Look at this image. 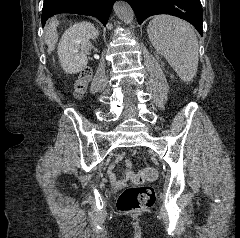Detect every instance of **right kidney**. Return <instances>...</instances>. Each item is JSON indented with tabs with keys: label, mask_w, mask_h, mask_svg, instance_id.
<instances>
[{
	"label": "right kidney",
	"mask_w": 240,
	"mask_h": 238,
	"mask_svg": "<svg viewBox=\"0 0 240 238\" xmlns=\"http://www.w3.org/2000/svg\"><path fill=\"white\" fill-rule=\"evenodd\" d=\"M99 31L92 23L80 22L70 26L58 45V57L67 74H76L87 65L86 48L89 40L98 37Z\"/></svg>",
	"instance_id": "obj_1"
}]
</instances>
